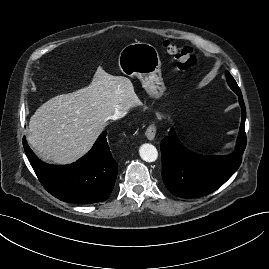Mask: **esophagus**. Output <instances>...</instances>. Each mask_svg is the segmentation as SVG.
<instances>
[{
    "label": "esophagus",
    "instance_id": "obj_1",
    "mask_svg": "<svg viewBox=\"0 0 269 269\" xmlns=\"http://www.w3.org/2000/svg\"><path fill=\"white\" fill-rule=\"evenodd\" d=\"M156 131H157V128L155 124L149 125V127L146 129V132H145L147 139L151 141L154 140Z\"/></svg>",
    "mask_w": 269,
    "mask_h": 269
}]
</instances>
